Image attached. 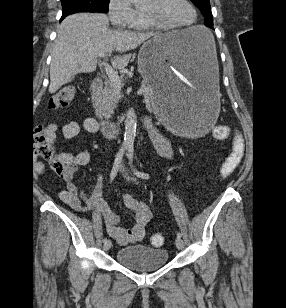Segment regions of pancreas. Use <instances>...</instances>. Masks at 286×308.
Returning <instances> with one entry per match:
<instances>
[{
	"label": "pancreas",
	"instance_id": "cf45deb5",
	"mask_svg": "<svg viewBox=\"0 0 286 308\" xmlns=\"http://www.w3.org/2000/svg\"><path fill=\"white\" fill-rule=\"evenodd\" d=\"M142 90H144V101L148 106H150L153 98L152 88L145 81H143ZM120 99V89L112 83L106 84L103 89L93 94L92 97L96 116L99 118H110Z\"/></svg>",
	"mask_w": 286,
	"mask_h": 308
}]
</instances>
